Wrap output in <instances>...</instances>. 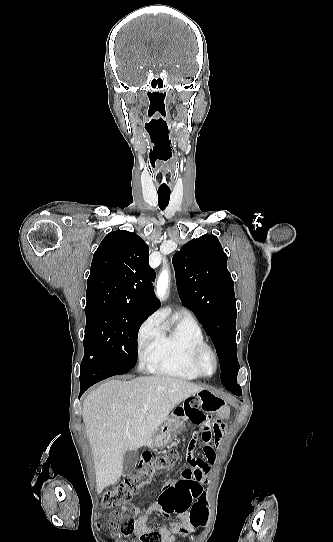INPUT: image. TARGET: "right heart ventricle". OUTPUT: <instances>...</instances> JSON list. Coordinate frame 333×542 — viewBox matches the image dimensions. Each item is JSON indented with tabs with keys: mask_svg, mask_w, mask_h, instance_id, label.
Here are the masks:
<instances>
[{
	"mask_svg": "<svg viewBox=\"0 0 333 542\" xmlns=\"http://www.w3.org/2000/svg\"><path fill=\"white\" fill-rule=\"evenodd\" d=\"M160 337L140 351V362L144 369L173 378L194 380L198 374L191 365L193 348L205 342L198 322L193 317L179 313L177 322L166 328L159 322Z\"/></svg>",
	"mask_w": 333,
	"mask_h": 542,
	"instance_id": "e07e8e85",
	"label": "right heart ventricle"
}]
</instances>
